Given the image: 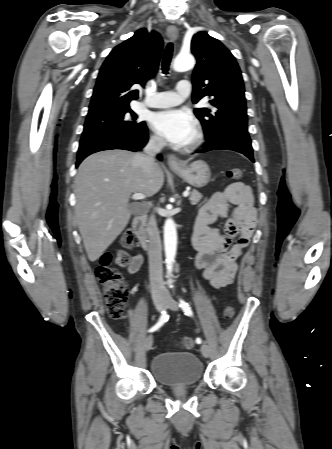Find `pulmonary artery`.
I'll return each mask as SVG.
<instances>
[{
  "label": "pulmonary artery",
  "instance_id": "obj_1",
  "mask_svg": "<svg viewBox=\"0 0 332 449\" xmlns=\"http://www.w3.org/2000/svg\"><path fill=\"white\" fill-rule=\"evenodd\" d=\"M191 92L189 81L182 80L176 85L175 91L157 92L145 98L148 107L166 108L180 104Z\"/></svg>",
  "mask_w": 332,
  "mask_h": 449
}]
</instances>
